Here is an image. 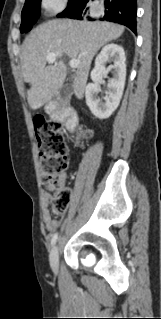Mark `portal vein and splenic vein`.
Wrapping results in <instances>:
<instances>
[{
    "mask_svg": "<svg viewBox=\"0 0 161 319\" xmlns=\"http://www.w3.org/2000/svg\"><path fill=\"white\" fill-rule=\"evenodd\" d=\"M57 54L54 52H50L45 56V59L48 63H54L56 61ZM78 60L76 59H71L69 62V65L72 69H76L78 67Z\"/></svg>",
    "mask_w": 161,
    "mask_h": 319,
    "instance_id": "18ae733b",
    "label": "portal vein and splenic vein"
}]
</instances>
